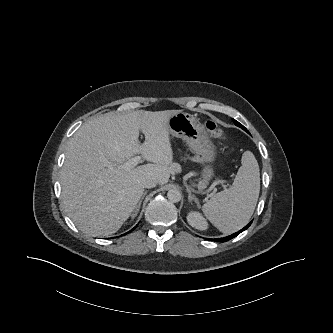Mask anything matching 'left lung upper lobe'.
<instances>
[{
	"mask_svg": "<svg viewBox=\"0 0 333 333\" xmlns=\"http://www.w3.org/2000/svg\"><path fill=\"white\" fill-rule=\"evenodd\" d=\"M233 121H234L235 125H237L238 127L244 129L245 131H247L246 128L243 125H241L239 122H237L236 120H233Z\"/></svg>",
	"mask_w": 333,
	"mask_h": 333,
	"instance_id": "left-lung-upper-lobe-1",
	"label": "left lung upper lobe"
}]
</instances>
